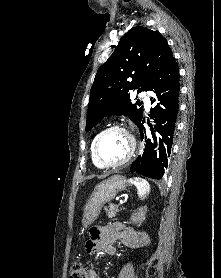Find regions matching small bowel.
Segmentation results:
<instances>
[{
	"instance_id": "small-bowel-1",
	"label": "small bowel",
	"mask_w": 221,
	"mask_h": 278,
	"mask_svg": "<svg viewBox=\"0 0 221 278\" xmlns=\"http://www.w3.org/2000/svg\"><path fill=\"white\" fill-rule=\"evenodd\" d=\"M115 242L138 248L146 245L148 238L144 232L136 231L122 222H111L91 230L86 249L91 254L116 255ZM89 278H99L98 271L90 269Z\"/></svg>"
}]
</instances>
